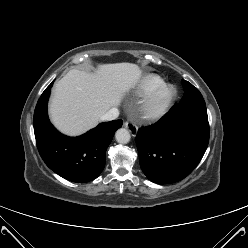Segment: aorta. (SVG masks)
<instances>
[{
    "instance_id": "obj_1",
    "label": "aorta",
    "mask_w": 248,
    "mask_h": 248,
    "mask_svg": "<svg viewBox=\"0 0 248 248\" xmlns=\"http://www.w3.org/2000/svg\"><path fill=\"white\" fill-rule=\"evenodd\" d=\"M115 139L120 144H127L130 139V132L125 128H120L115 133Z\"/></svg>"
}]
</instances>
